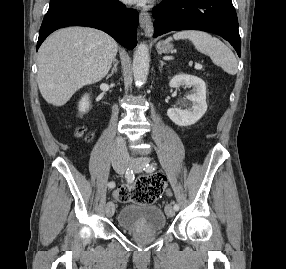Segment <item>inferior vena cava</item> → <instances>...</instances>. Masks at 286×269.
<instances>
[{"label":"inferior vena cava","instance_id":"1","mask_svg":"<svg viewBox=\"0 0 286 269\" xmlns=\"http://www.w3.org/2000/svg\"><path fill=\"white\" fill-rule=\"evenodd\" d=\"M129 154L126 147V141L122 137H117L113 147V159L115 161H125L127 160Z\"/></svg>","mask_w":286,"mask_h":269}]
</instances>
